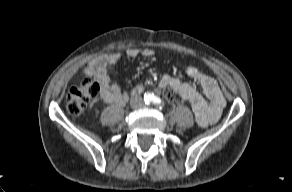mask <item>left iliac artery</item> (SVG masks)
<instances>
[{
    "instance_id": "1",
    "label": "left iliac artery",
    "mask_w": 292,
    "mask_h": 192,
    "mask_svg": "<svg viewBox=\"0 0 292 192\" xmlns=\"http://www.w3.org/2000/svg\"><path fill=\"white\" fill-rule=\"evenodd\" d=\"M153 104H155L159 109H162L164 107V103L163 101L157 97V96H153Z\"/></svg>"
}]
</instances>
